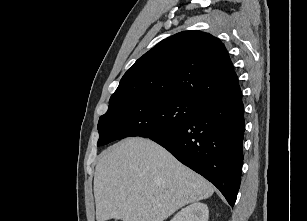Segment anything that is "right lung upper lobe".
I'll return each instance as SVG.
<instances>
[{"mask_svg":"<svg viewBox=\"0 0 307 221\" xmlns=\"http://www.w3.org/2000/svg\"><path fill=\"white\" fill-rule=\"evenodd\" d=\"M241 92L228 52L208 33L183 31L158 43L122 77L109 103L165 96L204 105Z\"/></svg>","mask_w":307,"mask_h":221,"instance_id":"obj_1","label":"right lung upper lobe"}]
</instances>
